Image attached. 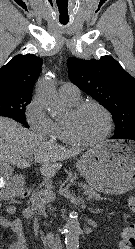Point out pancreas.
I'll return each mask as SVG.
<instances>
[{
    "label": "pancreas",
    "mask_w": 135,
    "mask_h": 249,
    "mask_svg": "<svg viewBox=\"0 0 135 249\" xmlns=\"http://www.w3.org/2000/svg\"><path fill=\"white\" fill-rule=\"evenodd\" d=\"M52 192V186L46 185L45 188L37 191L32 196L31 207L25 209L24 216L26 218L31 217L34 212H43L47 206V204L51 201L49 198V193ZM86 195L88 199H102V197L95 192L92 188H86Z\"/></svg>",
    "instance_id": "cf45deb5"
}]
</instances>
